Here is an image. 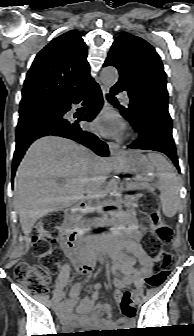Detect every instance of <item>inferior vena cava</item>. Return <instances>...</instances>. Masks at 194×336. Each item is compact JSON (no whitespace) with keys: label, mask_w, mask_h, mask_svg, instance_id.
I'll return each mask as SVG.
<instances>
[{"label":"inferior vena cava","mask_w":194,"mask_h":336,"mask_svg":"<svg viewBox=\"0 0 194 336\" xmlns=\"http://www.w3.org/2000/svg\"><path fill=\"white\" fill-rule=\"evenodd\" d=\"M93 158L90 159V163L88 165L89 170H98L99 165H98V161H97V156H95L93 154L92 156ZM103 177L100 175H96L93 179H92V183L91 185L88 187L86 193H87V200L92 202L93 200H96L99 197V188L100 185L103 181Z\"/></svg>","instance_id":"1"}]
</instances>
